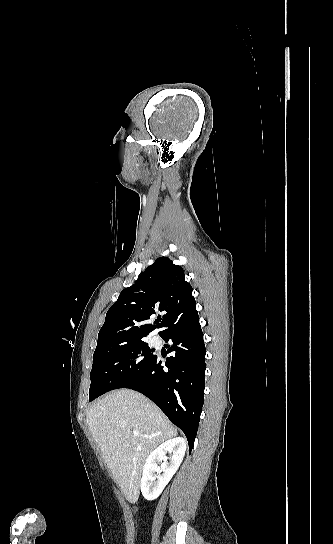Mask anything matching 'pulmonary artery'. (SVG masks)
Masks as SVG:
<instances>
[{"mask_svg": "<svg viewBox=\"0 0 333 544\" xmlns=\"http://www.w3.org/2000/svg\"><path fill=\"white\" fill-rule=\"evenodd\" d=\"M152 342L153 344L155 345H158L160 343V338L158 335H154L153 338H152Z\"/></svg>", "mask_w": 333, "mask_h": 544, "instance_id": "1", "label": "pulmonary artery"}]
</instances>
